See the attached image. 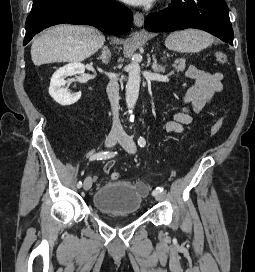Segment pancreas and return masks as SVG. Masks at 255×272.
<instances>
[{
    "label": "pancreas",
    "instance_id": "pancreas-1",
    "mask_svg": "<svg viewBox=\"0 0 255 272\" xmlns=\"http://www.w3.org/2000/svg\"><path fill=\"white\" fill-rule=\"evenodd\" d=\"M173 67L176 69V71L182 72L185 69V63L183 61H177L173 64Z\"/></svg>",
    "mask_w": 255,
    "mask_h": 272
}]
</instances>
